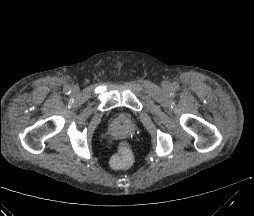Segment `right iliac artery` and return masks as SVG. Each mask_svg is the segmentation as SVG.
Returning a JSON list of instances; mask_svg holds the SVG:
<instances>
[{
	"mask_svg": "<svg viewBox=\"0 0 254 216\" xmlns=\"http://www.w3.org/2000/svg\"><path fill=\"white\" fill-rule=\"evenodd\" d=\"M70 92H71V89L69 87L64 88V93L65 94H70Z\"/></svg>",
	"mask_w": 254,
	"mask_h": 216,
	"instance_id": "82829eb1",
	"label": "right iliac artery"
}]
</instances>
